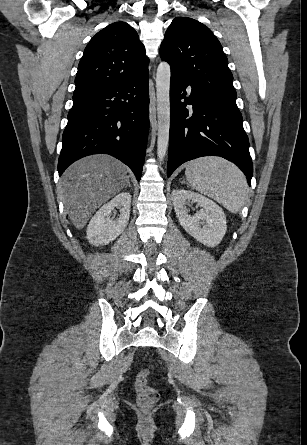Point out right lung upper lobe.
<instances>
[{
	"label": "right lung upper lobe",
	"instance_id": "right-lung-upper-lobe-1",
	"mask_svg": "<svg viewBox=\"0 0 307 445\" xmlns=\"http://www.w3.org/2000/svg\"><path fill=\"white\" fill-rule=\"evenodd\" d=\"M149 59L137 32L116 22L98 32L78 65L74 95L123 83L148 71Z\"/></svg>",
	"mask_w": 307,
	"mask_h": 445
}]
</instances>
